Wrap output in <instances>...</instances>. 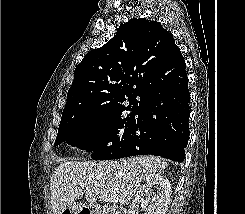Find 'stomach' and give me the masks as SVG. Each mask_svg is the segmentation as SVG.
<instances>
[{
    "instance_id": "1",
    "label": "stomach",
    "mask_w": 245,
    "mask_h": 214,
    "mask_svg": "<svg viewBox=\"0 0 245 214\" xmlns=\"http://www.w3.org/2000/svg\"><path fill=\"white\" fill-rule=\"evenodd\" d=\"M82 209L83 207L81 204L73 202L68 206V208L65 211H63V214L64 213L79 214Z\"/></svg>"
}]
</instances>
